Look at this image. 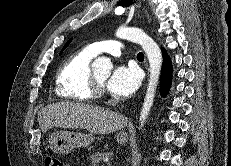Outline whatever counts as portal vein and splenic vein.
Instances as JSON below:
<instances>
[{"instance_id":"18ae733b","label":"portal vein and splenic vein","mask_w":231,"mask_h":166,"mask_svg":"<svg viewBox=\"0 0 231 166\" xmlns=\"http://www.w3.org/2000/svg\"><path fill=\"white\" fill-rule=\"evenodd\" d=\"M105 163H109V158H104L103 160Z\"/></svg>"}]
</instances>
